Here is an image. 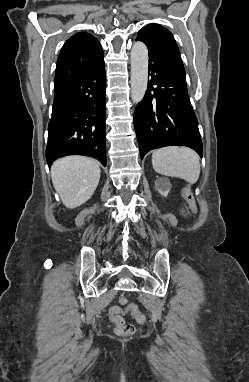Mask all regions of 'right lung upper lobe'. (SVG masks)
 I'll use <instances>...</instances> for the list:
<instances>
[{
    "mask_svg": "<svg viewBox=\"0 0 249 382\" xmlns=\"http://www.w3.org/2000/svg\"><path fill=\"white\" fill-rule=\"evenodd\" d=\"M102 54L101 44L88 33L80 32L69 38L57 60L54 92L94 65Z\"/></svg>",
    "mask_w": 249,
    "mask_h": 382,
    "instance_id": "cb5924a9",
    "label": "right lung upper lobe"
}]
</instances>
